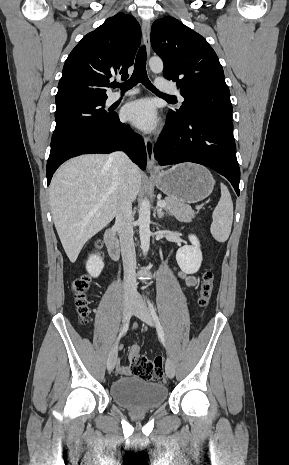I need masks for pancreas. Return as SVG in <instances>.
I'll use <instances>...</instances> for the list:
<instances>
[{
    "instance_id": "obj_1",
    "label": "pancreas",
    "mask_w": 289,
    "mask_h": 465,
    "mask_svg": "<svg viewBox=\"0 0 289 465\" xmlns=\"http://www.w3.org/2000/svg\"><path fill=\"white\" fill-rule=\"evenodd\" d=\"M164 201L166 202L164 209L178 220L189 222L195 218L196 213L190 206L170 197L165 198Z\"/></svg>"
}]
</instances>
